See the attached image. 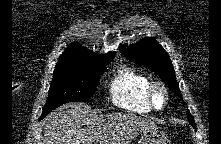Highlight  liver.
<instances>
[{
  "label": "liver",
  "instance_id": "6515ba94",
  "mask_svg": "<svg viewBox=\"0 0 221 144\" xmlns=\"http://www.w3.org/2000/svg\"><path fill=\"white\" fill-rule=\"evenodd\" d=\"M46 144H130L137 135L156 129L152 119L132 113L95 115L82 103H67L43 120Z\"/></svg>",
  "mask_w": 221,
  "mask_h": 144
}]
</instances>
